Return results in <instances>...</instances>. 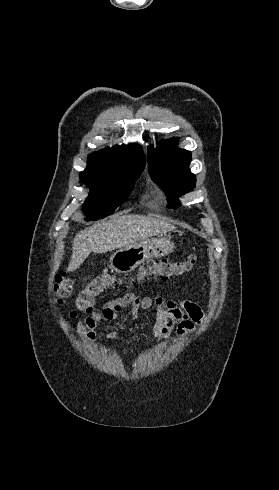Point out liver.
<instances>
[{
    "label": "liver",
    "mask_w": 279,
    "mask_h": 490,
    "mask_svg": "<svg viewBox=\"0 0 279 490\" xmlns=\"http://www.w3.org/2000/svg\"><path fill=\"white\" fill-rule=\"evenodd\" d=\"M170 230H175V226L165 220L147 216H116L107 222H98L76 234L66 272H74L80 268L91 252L105 254L117 248H130Z\"/></svg>",
    "instance_id": "1"
}]
</instances>
